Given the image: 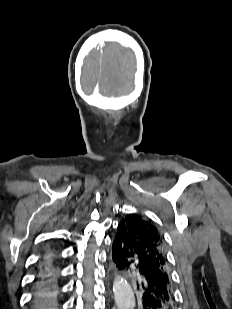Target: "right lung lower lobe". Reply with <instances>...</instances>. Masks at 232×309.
Returning <instances> with one entry per match:
<instances>
[{"mask_svg": "<svg viewBox=\"0 0 232 309\" xmlns=\"http://www.w3.org/2000/svg\"><path fill=\"white\" fill-rule=\"evenodd\" d=\"M58 275L52 257L41 260L35 279L33 309H59Z\"/></svg>", "mask_w": 232, "mask_h": 309, "instance_id": "1", "label": "right lung lower lobe"}]
</instances>
